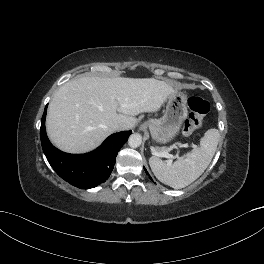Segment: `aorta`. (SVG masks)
Returning <instances> with one entry per match:
<instances>
[{
  "mask_svg": "<svg viewBox=\"0 0 264 264\" xmlns=\"http://www.w3.org/2000/svg\"><path fill=\"white\" fill-rule=\"evenodd\" d=\"M142 136L138 133L132 134L128 139V144L132 148H137L141 145Z\"/></svg>",
  "mask_w": 264,
  "mask_h": 264,
  "instance_id": "762f6f07",
  "label": "aorta"
}]
</instances>
